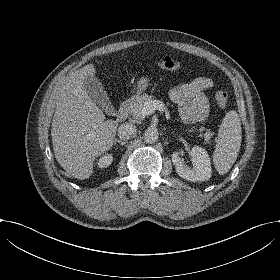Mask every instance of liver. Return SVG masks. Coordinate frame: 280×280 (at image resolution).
Listing matches in <instances>:
<instances>
[{"mask_svg":"<svg viewBox=\"0 0 280 280\" xmlns=\"http://www.w3.org/2000/svg\"><path fill=\"white\" fill-rule=\"evenodd\" d=\"M94 73L93 65L71 73L55 96L51 130L55 158L80 180L89 178L95 158L111 149L118 125L105 120L102 110L87 95L84 80Z\"/></svg>","mask_w":280,"mask_h":280,"instance_id":"liver-1","label":"liver"}]
</instances>
